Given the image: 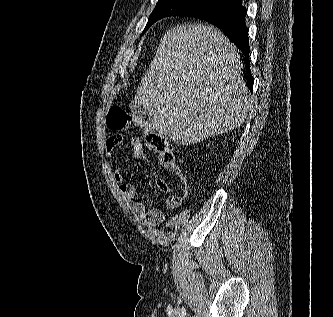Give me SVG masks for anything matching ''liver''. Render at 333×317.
I'll return each mask as SVG.
<instances>
[{"mask_svg":"<svg viewBox=\"0 0 333 317\" xmlns=\"http://www.w3.org/2000/svg\"><path fill=\"white\" fill-rule=\"evenodd\" d=\"M239 58L219 29L175 26L161 38L135 102L157 130L179 145L233 130L254 104Z\"/></svg>","mask_w":333,"mask_h":317,"instance_id":"obj_1","label":"liver"}]
</instances>
